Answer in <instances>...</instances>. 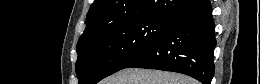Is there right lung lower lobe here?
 Listing matches in <instances>:
<instances>
[{"mask_svg":"<svg viewBox=\"0 0 260 84\" xmlns=\"http://www.w3.org/2000/svg\"><path fill=\"white\" fill-rule=\"evenodd\" d=\"M215 45L212 7L209 0H202L173 18L156 41L126 68L178 72L210 84Z\"/></svg>","mask_w":260,"mask_h":84,"instance_id":"obj_1","label":"right lung lower lobe"}]
</instances>
